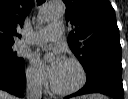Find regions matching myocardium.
<instances>
[{"mask_svg": "<svg viewBox=\"0 0 128 99\" xmlns=\"http://www.w3.org/2000/svg\"><path fill=\"white\" fill-rule=\"evenodd\" d=\"M64 61L76 65L80 72L79 82L71 88L60 89V88L56 87L53 82H51V89L55 94L66 96V95L74 94L84 87V85L86 84V81H87V73H86V70H85L83 64L78 59L69 57V58H66Z\"/></svg>", "mask_w": 128, "mask_h": 99, "instance_id": "obj_1", "label": "myocardium"}]
</instances>
